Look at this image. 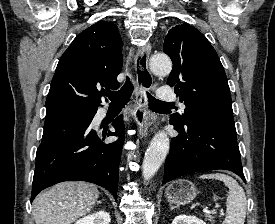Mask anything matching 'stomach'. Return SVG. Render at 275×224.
<instances>
[{
    "mask_svg": "<svg viewBox=\"0 0 275 224\" xmlns=\"http://www.w3.org/2000/svg\"><path fill=\"white\" fill-rule=\"evenodd\" d=\"M165 194L170 204L180 206L191 203L197 195V189L191 181L178 179L168 185Z\"/></svg>",
    "mask_w": 275,
    "mask_h": 224,
    "instance_id": "stomach-1",
    "label": "stomach"
}]
</instances>
